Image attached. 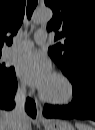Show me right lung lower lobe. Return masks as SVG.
Segmentation results:
<instances>
[{"label": "right lung lower lobe", "mask_w": 95, "mask_h": 130, "mask_svg": "<svg viewBox=\"0 0 95 130\" xmlns=\"http://www.w3.org/2000/svg\"><path fill=\"white\" fill-rule=\"evenodd\" d=\"M17 89L15 71L6 78L0 79V108L10 110L14 107V96ZM25 109L33 118L36 116V106L31 99H27Z\"/></svg>", "instance_id": "1"}]
</instances>
